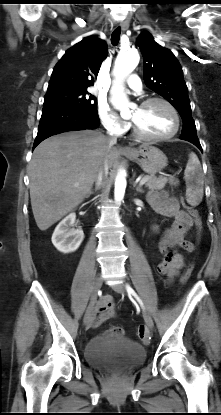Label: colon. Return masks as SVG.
<instances>
[{
    "label": "colon",
    "mask_w": 221,
    "mask_h": 415,
    "mask_svg": "<svg viewBox=\"0 0 221 415\" xmlns=\"http://www.w3.org/2000/svg\"><path fill=\"white\" fill-rule=\"evenodd\" d=\"M180 184H181V179L179 177H175L173 175V177L170 179L169 187L171 189H178L180 187ZM180 202L182 203L181 207L186 208L187 212L193 217L197 228L200 229L201 228V219H200L198 211L194 207H192L190 205H186L184 203L185 202V197L184 196L180 197ZM190 273H191V266L188 267L187 270L185 271V273H184V275L181 279V284H184L188 280V278L190 276ZM110 334L113 337H122L123 334H124V331H123L122 328L114 327L110 330ZM138 337L142 341H148L150 339L149 332H148L147 328L144 325L139 326V328H138Z\"/></svg>",
    "instance_id": "obj_1"
}]
</instances>
